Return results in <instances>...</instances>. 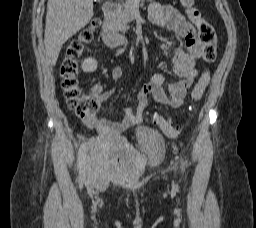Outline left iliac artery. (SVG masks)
I'll list each match as a JSON object with an SVG mask.
<instances>
[{
    "mask_svg": "<svg viewBox=\"0 0 256 228\" xmlns=\"http://www.w3.org/2000/svg\"><path fill=\"white\" fill-rule=\"evenodd\" d=\"M185 162L182 159V169L184 170Z\"/></svg>",
    "mask_w": 256,
    "mask_h": 228,
    "instance_id": "left-iliac-artery-1",
    "label": "left iliac artery"
}]
</instances>
